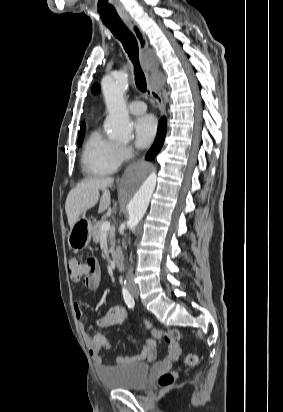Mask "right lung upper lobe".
<instances>
[{"label": "right lung upper lobe", "instance_id": "1", "mask_svg": "<svg viewBox=\"0 0 283 412\" xmlns=\"http://www.w3.org/2000/svg\"><path fill=\"white\" fill-rule=\"evenodd\" d=\"M84 132H85V125L83 123L82 126H81L80 135L84 134Z\"/></svg>", "mask_w": 283, "mask_h": 412}]
</instances>
